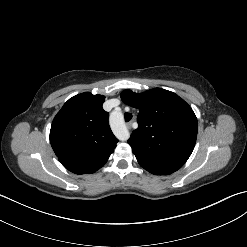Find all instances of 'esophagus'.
I'll list each match as a JSON object with an SVG mask.
<instances>
[{
    "label": "esophagus",
    "instance_id": "obj_1",
    "mask_svg": "<svg viewBox=\"0 0 247 247\" xmlns=\"http://www.w3.org/2000/svg\"><path fill=\"white\" fill-rule=\"evenodd\" d=\"M126 125H127V127H130L131 123L129 122V123H127Z\"/></svg>",
    "mask_w": 247,
    "mask_h": 247
}]
</instances>
